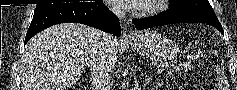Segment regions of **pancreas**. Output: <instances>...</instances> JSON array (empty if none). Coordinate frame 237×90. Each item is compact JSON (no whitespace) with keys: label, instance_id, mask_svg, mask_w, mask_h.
Here are the masks:
<instances>
[{"label":"pancreas","instance_id":"pancreas-1","mask_svg":"<svg viewBox=\"0 0 237 90\" xmlns=\"http://www.w3.org/2000/svg\"><path fill=\"white\" fill-rule=\"evenodd\" d=\"M191 64H178V66H175L174 70L175 72H188V69H191Z\"/></svg>","mask_w":237,"mask_h":90}]
</instances>
